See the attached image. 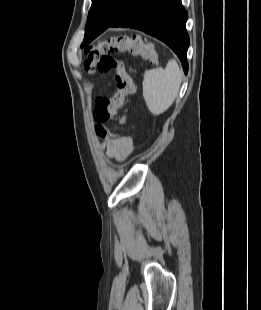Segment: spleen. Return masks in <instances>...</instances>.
Instances as JSON below:
<instances>
[{
	"label": "spleen",
	"mask_w": 261,
	"mask_h": 310,
	"mask_svg": "<svg viewBox=\"0 0 261 310\" xmlns=\"http://www.w3.org/2000/svg\"><path fill=\"white\" fill-rule=\"evenodd\" d=\"M182 81V70L172 59L165 69L146 70L143 77V97L150 112L164 113L174 102Z\"/></svg>",
	"instance_id": "3e777b00"
}]
</instances>
